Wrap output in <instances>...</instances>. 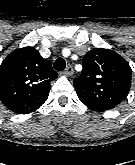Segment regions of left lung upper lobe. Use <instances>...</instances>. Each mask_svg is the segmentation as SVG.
Returning a JSON list of instances; mask_svg holds the SVG:
<instances>
[{"label":"left lung upper lobe","instance_id":"5c2ea615","mask_svg":"<svg viewBox=\"0 0 135 165\" xmlns=\"http://www.w3.org/2000/svg\"><path fill=\"white\" fill-rule=\"evenodd\" d=\"M131 68L114 51L95 48L83 57V70L74 80L79 99L88 108L104 111L120 104L128 95Z\"/></svg>","mask_w":135,"mask_h":165}]
</instances>
